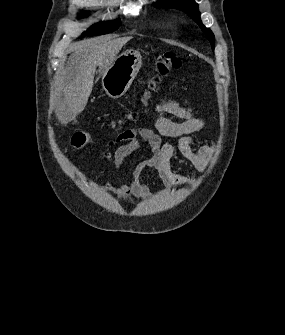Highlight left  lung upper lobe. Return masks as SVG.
<instances>
[{"mask_svg": "<svg viewBox=\"0 0 285 335\" xmlns=\"http://www.w3.org/2000/svg\"><path fill=\"white\" fill-rule=\"evenodd\" d=\"M154 5L156 7L177 8L186 12L206 33L209 41L211 42L212 49L214 48V35L209 28H206L202 24L200 12L198 11V4L194 2V0H159Z\"/></svg>", "mask_w": 285, "mask_h": 335, "instance_id": "left-lung-upper-lobe-1", "label": "left lung upper lobe"}]
</instances>
